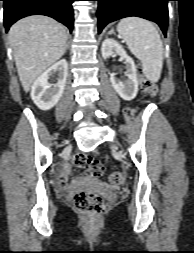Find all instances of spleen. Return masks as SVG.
Here are the masks:
<instances>
[{"instance_id":"3e777b00","label":"spleen","mask_w":194,"mask_h":253,"mask_svg":"<svg viewBox=\"0 0 194 253\" xmlns=\"http://www.w3.org/2000/svg\"><path fill=\"white\" fill-rule=\"evenodd\" d=\"M117 30L131 53L141 61L145 77L157 82L163 66V45L156 27L145 19L127 17L118 23Z\"/></svg>"}]
</instances>
